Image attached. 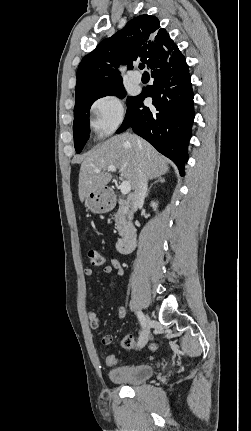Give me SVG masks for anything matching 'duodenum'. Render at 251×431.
<instances>
[{
	"instance_id": "duodenum-1",
	"label": "duodenum",
	"mask_w": 251,
	"mask_h": 431,
	"mask_svg": "<svg viewBox=\"0 0 251 431\" xmlns=\"http://www.w3.org/2000/svg\"><path fill=\"white\" fill-rule=\"evenodd\" d=\"M124 204L130 206L131 202L129 200L124 201ZM137 241L136 229L133 225H128L125 229L124 234L116 242L117 250L122 254L131 253Z\"/></svg>"
}]
</instances>
